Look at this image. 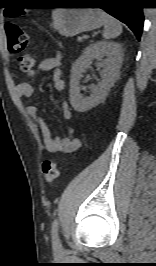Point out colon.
Listing matches in <instances>:
<instances>
[{"instance_id": "5ec220e1", "label": "colon", "mask_w": 156, "mask_h": 266, "mask_svg": "<svg viewBox=\"0 0 156 266\" xmlns=\"http://www.w3.org/2000/svg\"><path fill=\"white\" fill-rule=\"evenodd\" d=\"M7 37L8 50L12 54H19L25 50L28 44V35L26 32L15 24H7L5 26ZM18 68L21 71L31 70L35 64L36 59L29 55H21L17 58ZM60 164L46 160L42 164V172L48 184H53L59 175Z\"/></svg>"}]
</instances>
